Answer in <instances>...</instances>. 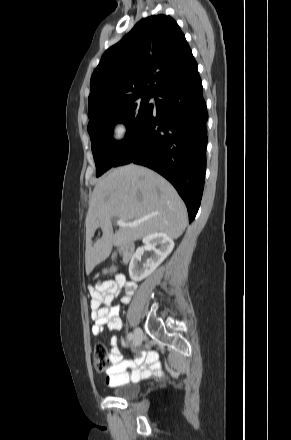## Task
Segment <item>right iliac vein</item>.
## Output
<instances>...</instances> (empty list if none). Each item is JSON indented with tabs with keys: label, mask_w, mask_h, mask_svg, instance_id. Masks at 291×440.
<instances>
[{
	"label": "right iliac vein",
	"mask_w": 291,
	"mask_h": 440,
	"mask_svg": "<svg viewBox=\"0 0 291 440\" xmlns=\"http://www.w3.org/2000/svg\"><path fill=\"white\" fill-rule=\"evenodd\" d=\"M143 337L144 336H143L142 330L140 328H137L135 330L134 340H133V344H134L135 347L140 346V344L142 343Z\"/></svg>",
	"instance_id": "right-iliac-vein-1"
}]
</instances>
